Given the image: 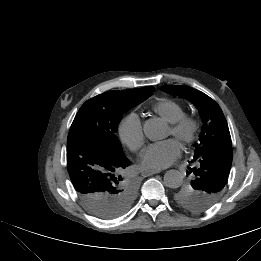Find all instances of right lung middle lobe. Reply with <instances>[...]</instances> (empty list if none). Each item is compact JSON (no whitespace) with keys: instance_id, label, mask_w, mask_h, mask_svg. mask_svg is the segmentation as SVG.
<instances>
[{"instance_id":"1","label":"right lung middle lobe","mask_w":261,"mask_h":261,"mask_svg":"<svg viewBox=\"0 0 261 261\" xmlns=\"http://www.w3.org/2000/svg\"><path fill=\"white\" fill-rule=\"evenodd\" d=\"M154 92L122 95L109 91L86 101L71 125L68 139L76 136L89 137L101 147L122 152L115 132L122 113L146 100ZM136 184L131 179L119 177L110 185L93 189L86 198H80L84 207L96 217L113 219L122 215L133 203Z\"/></svg>"}]
</instances>
